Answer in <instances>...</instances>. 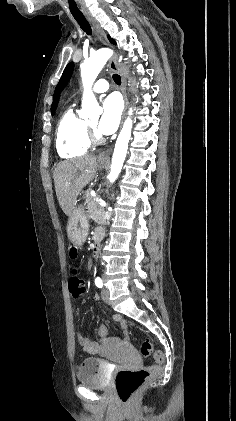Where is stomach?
<instances>
[{"mask_svg": "<svg viewBox=\"0 0 236 421\" xmlns=\"http://www.w3.org/2000/svg\"><path fill=\"white\" fill-rule=\"evenodd\" d=\"M108 162H103L98 158V168L102 170ZM89 219L84 211L82 204L74 206L71 215H69L66 231L67 237L74 247H82L89 233Z\"/></svg>", "mask_w": 236, "mask_h": 421, "instance_id": "0dacf381", "label": "stomach"}]
</instances>
